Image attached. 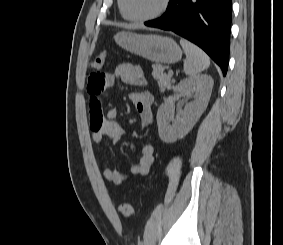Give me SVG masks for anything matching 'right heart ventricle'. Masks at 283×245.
<instances>
[{
    "mask_svg": "<svg viewBox=\"0 0 283 245\" xmlns=\"http://www.w3.org/2000/svg\"><path fill=\"white\" fill-rule=\"evenodd\" d=\"M118 5H119L120 12H121V8H120V0H118ZM121 14H122V12H121Z\"/></svg>",
    "mask_w": 283,
    "mask_h": 245,
    "instance_id": "e07e8e85",
    "label": "right heart ventricle"
}]
</instances>
